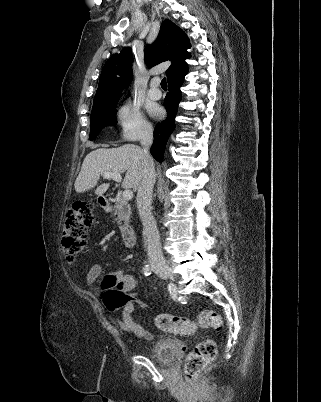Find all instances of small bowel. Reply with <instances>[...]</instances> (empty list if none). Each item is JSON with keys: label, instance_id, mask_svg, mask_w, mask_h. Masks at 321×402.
I'll use <instances>...</instances> for the list:
<instances>
[{"label": "small bowel", "instance_id": "obj_1", "mask_svg": "<svg viewBox=\"0 0 321 402\" xmlns=\"http://www.w3.org/2000/svg\"><path fill=\"white\" fill-rule=\"evenodd\" d=\"M100 271V265L94 266L88 273V282L95 281L100 274ZM115 286L125 292H129L136 287V280L133 276L125 274L122 271H115L103 280L102 288L110 289ZM134 307V302H128L123 310L122 315L115 316L114 319L123 331L132 334L138 338H152V334L145 327L136 323L133 320Z\"/></svg>", "mask_w": 321, "mask_h": 402}]
</instances>
